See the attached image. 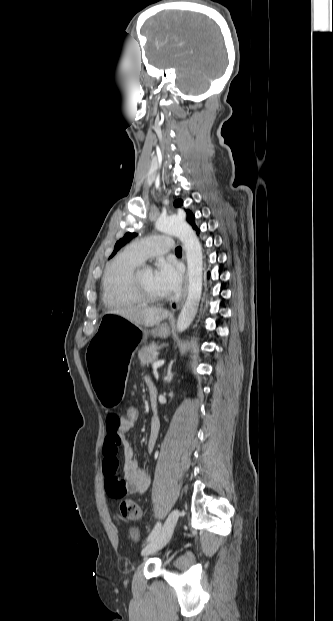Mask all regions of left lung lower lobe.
Here are the masks:
<instances>
[{
	"label": "left lung lower lobe",
	"instance_id": "left-lung-lower-lobe-1",
	"mask_svg": "<svg viewBox=\"0 0 333 621\" xmlns=\"http://www.w3.org/2000/svg\"><path fill=\"white\" fill-rule=\"evenodd\" d=\"M194 229L196 230L197 234H199L200 230L197 227H195Z\"/></svg>",
	"mask_w": 333,
	"mask_h": 621
}]
</instances>
